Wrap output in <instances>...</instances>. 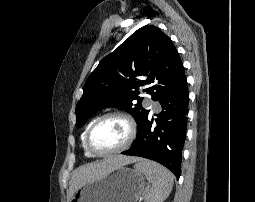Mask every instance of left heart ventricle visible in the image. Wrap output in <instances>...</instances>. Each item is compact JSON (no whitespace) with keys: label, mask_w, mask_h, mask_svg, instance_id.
Segmentation results:
<instances>
[{"label":"left heart ventricle","mask_w":255,"mask_h":202,"mask_svg":"<svg viewBox=\"0 0 255 202\" xmlns=\"http://www.w3.org/2000/svg\"><path fill=\"white\" fill-rule=\"evenodd\" d=\"M128 128L119 118H109L99 123L91 134V145L98 152H108L120 147L126 140Z\"/></svg>","instance_id":"left-heart-ventricle-1"}]
</instances>
